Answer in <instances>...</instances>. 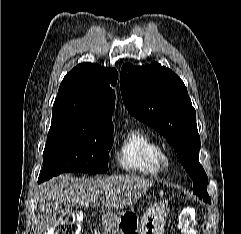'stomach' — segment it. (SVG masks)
Returning <instances> with one entry per match:
<instances>
[{"label": "stomach", "instance_id": "0dacf381", "mask_svg": "<svg viewBox=\"0 0 241 234\" xmlns=\"http://www.w3.org/2000/svg\"><path fill=\"white\" fill-rule=\"evenodd\" d=\"M168 211L166 204L157 203L150 207L140 220L130 211L113 216L111 220L117 227L118 234H164Z\"/></svg>", "mask_w": 241, "mask_h": 234}]
</instances>
